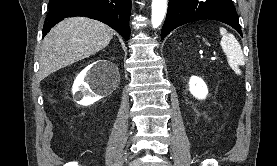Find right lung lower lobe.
Returning <instances> with one entry per match:
<instances>
[{
  "label": "right lung lower lobe",
  "mask_w": 277,
  "mask_h": 166,
  "mask_svg": "<svg viewBox=\"0 0 277 166\" xmlns=\"http://www.w3.org/2000/svg\"><path fill=\"white\" fill-rule=\"evenodd\" d=\"M131 0H50L43 36L66 17L85 16L99 20L129 39Z\"/></svg>",
  "instance_id": "obj_1"
}]
</instances>
